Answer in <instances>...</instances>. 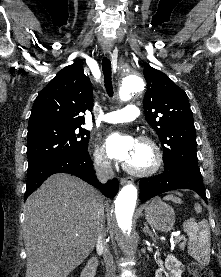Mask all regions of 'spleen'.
<instances>
[{
    "label": "spleen",
    "instance_id": "1",
    "mask_svg": "<svg viewBox=\"0 0 221 277\" xmlns=\"http://www.w3.org/2000/svg\"><path fill=\"white\" fill-rule=\"evenodd\" d=\"M164 200H171L175 203H182L180 198L167 195ZM197 213L202 211L199 204L195 205ZM183 229L189 237L188 253L200 264L206 266L210 262V229L206 221L196 222L195 218H190L183 223Z\"/></svg>",
    "mask_w": 221,
    "mask_h": 277
}]
</instances>
